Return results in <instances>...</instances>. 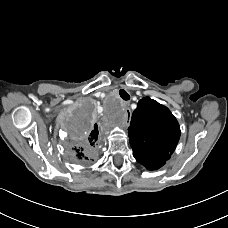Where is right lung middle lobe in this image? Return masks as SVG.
Listing matches in <instances>:
<instances>
[{
	"mask_svg": "<svg viewBox=\"0 0 228 228\" xmlns=\"http://www.w3.org/2000/svg\"><path fill=\"white\" fill-rule=\"evenodd\" d=\"M80 127L74 130H71L73 139L80 144L82 141L86 142V136L89 133L90 129L94 124V118L92 114L82 112L79 114ZM97 130L96 124L94 125V131ZM93 132V131H92ZM91 132V133H92Z\"/></svg>",
	"mask_w": 228,
	"mask_h": 228,
	"instance_id": "right-lung-middle-lobe-1",
	"label": "right lung middle lobe"
}]
</instances>
